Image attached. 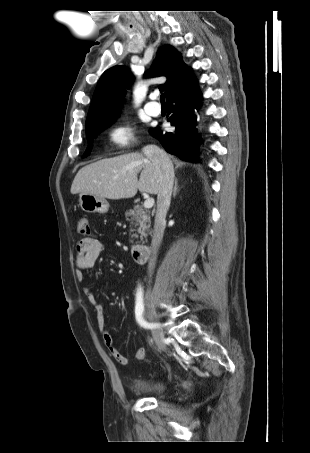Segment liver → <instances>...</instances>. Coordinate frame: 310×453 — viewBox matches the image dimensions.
<instances>
[{"instance_id": "6515ba94", "label": "liver", "mask_w": 310, "mask_h": 453, "mask_svg": "<svg viewBox=\"0 0 310 453\" xmlns=\"http://www.w3.org/2000/svg\"><path fill=\"white\" fill-rule=\"evenodd\" d=\"M159 187L160 173L153 163L141 153H129L82 167L73 180L71 193L119 200L134 197L138 190L158 194Z\"/></svg>"}]
</instances>
